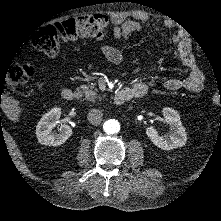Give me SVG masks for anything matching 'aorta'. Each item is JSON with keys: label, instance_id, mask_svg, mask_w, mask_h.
Instances as JSON below:
<instances>
[{"label": "aorta", "instance_id": "aorta-1", "mask_svg": "<svg viewBox=\"0 0 221 221\" xmlns=\"http://www.w3.org/2000/svg\"><path fill=\"white\" fill-rule=\"evenodd\" d=\"M103 129L107 134H115L120 131V123L118 120L109 119L104 122Z\"/></svg>", "mask_w": 221, "mask_h": 221}]
</instances>
